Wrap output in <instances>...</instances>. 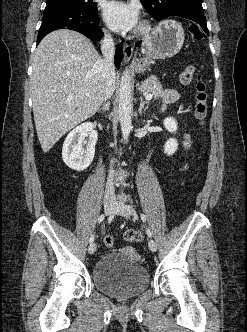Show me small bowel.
I'll use <instances>...</instances> for the list:
<instances>
[{"label": "small bowel", "mask_w": 247, "mask_h": 332, "mask_svg": "<svg viewBox=\"0 0 247 332\" xmlns=\"http://www.w3.org/2000/svg\"><path fill=\"white\" fill-rule=\"evenodd\" d=\"M178 101V96L177 93L173 90H167L164 94L163 97V104H162V109L165 107L166 104L170 103H176ZM191 140H190V135L185 134L183 138V147L185 150H188L190 148ZM186 165H183L181 168L184 169Z\"/></svg>", "instance_id": "c3829d8e"}]
</instances>
